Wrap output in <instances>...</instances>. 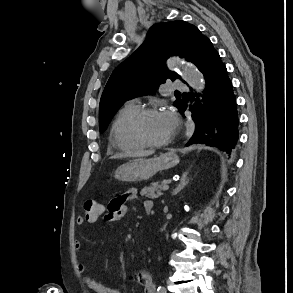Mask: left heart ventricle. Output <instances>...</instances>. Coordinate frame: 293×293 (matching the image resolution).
<instances>
[{
  "instance_id": "obj_1",
  "label": "left heart ventricle",
  "mask_w": 293,
  "mask_h": 293,
  "mask_svg": "<svg viewBox=\"0 0 293 293\" xmlns=\"http://www.w3.org/2000/svg\"><path fill=\"white\" fill-rule=\"evenodd\" d=\"M142 130L149 140L162 141L172 134L173 123L168 113L159 111L145 118Z\"/></svg>"
}]
</instances>
